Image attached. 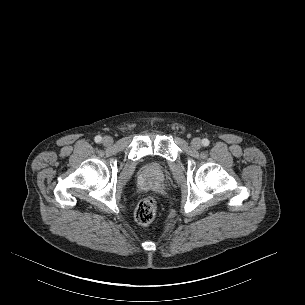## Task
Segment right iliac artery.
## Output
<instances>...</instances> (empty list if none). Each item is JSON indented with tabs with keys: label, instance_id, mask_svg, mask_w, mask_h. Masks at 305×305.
<instances>
[{
	"label": "right iliac artery",
	"instance_id": "obj_1",
	"mask_svg": "<svg viewBox=\"0 0 305 305\" xmlns=\"http://www.w3.org/2000/svg\"><path fill=\"white\" fill-rule=\"evenodd\" d=\"M94 140H95L96 143H100L101 140H102V137L98 135V136L95 137Z\"/></svg>",
	"mask_w": 305,
	"mask_h": 305
}]
</instances>
